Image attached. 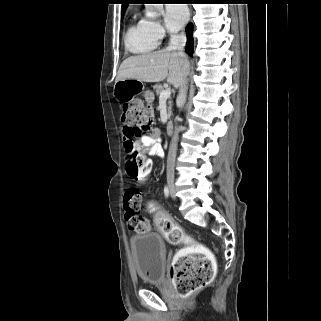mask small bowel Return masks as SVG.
I'll return each mask as SVG.
<instances>
[{"label": "small bowel", "mask_w": 321, "mask_h": 321, "mask_svg": "<svg viewBox=\"0 0 321 321\" xmlns=\"http://www.w3.org/2000/svg\"><path fill=\"white\" fill-rule=\"evenodd\" d=\"M146 100L150 101L151 97L147 96ZM134 138L127 129H123L122 145L127 154L138 152L150 156H162L161 134L158 128L152 129L149 134L142 136L138 140Z\"/></svg>", "instance_id": "small-bowel-1"}]
</instances>
